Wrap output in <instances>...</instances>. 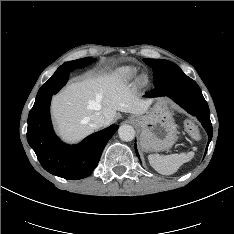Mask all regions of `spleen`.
Returning <instances> with one entry per match:
<instances>
[{
    "mask_svg": "<svg viewBox=\"0 0 234 234\" xmlns=\"http://www.w3.org/2000/svg\"><path fill=\"white\" fill-rule=\"evenodd\" d=\"M194 156L193 152L171 154L160 156L157 154L148 155L150 165L162 175L175 173L184 163L190 161Z\"/></svg>",
    "mask_w": 234,
    "mask_h": 234,
    "instance_id": "3e777b00",
    "label": "spleen"
}]
</instances>
